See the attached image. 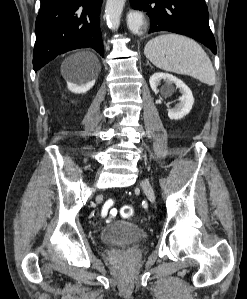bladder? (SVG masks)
Instances as JSON below:
<instances>
[{
	"mask_svg": "<svg viewBox=\"0 0 247 299\" xmlns=\"http://www.w3.org/2000/svg\"><path fill=\"white\" fill-rule=\"evenodd\" d=\"M147 238L148 234L143 228L125 221L112 222L100 232L101 242L107 245L144 242Z\"/></svg>",
	"mask_w": 247,
	"mask_h": 299,
	"instance_id": "bladder-1",
	"label": "bladder"
}]
</instances>
